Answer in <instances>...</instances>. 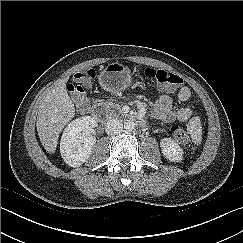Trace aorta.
<instances>
[{"label": "aorta", "mask_w": 243, "mask_h": 243, "mask_svg": "<svg viewBox=\"0 0 243 243\" xmlns=\"http://www.w3.org/2000/svg\"><path fill=\"white\" fill-rule=\"evenodd\" d=\"M124 129L126 131H133L135 129V123L132 120H127L126 122H124Z\"/></svg>", "instance_id": "762f6f07"}]
</instances>
